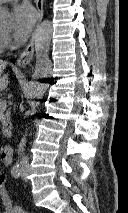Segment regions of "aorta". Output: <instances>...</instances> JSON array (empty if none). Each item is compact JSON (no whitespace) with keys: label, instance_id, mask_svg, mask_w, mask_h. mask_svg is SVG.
<instances>
[{"label":"aorta","instance_id":"762f6f07","mask_svg":"<svg viewBox=\"0 0 128 213\" xmlns=\"http://www.w3.org/2000/svg\"><path fill=\"white\" fill-rule=\"evenodd\" d=\"M10 15L7 10L0 7V26L6 25L9 22ZM53 27L49 20H44L37 28L35 32V51H36V64L34 71V78L36 79H47L52 74V63L49 58L50 43L52 39ZM48 83L40 82L37 83L34 90V96L37 98H42L48 89ZM39 103H36L38 106ZM35 111V105L28 111V115H33ZM26 145V134L21 138L17 153L20 157L24 151ZM16 162V165L19 161Z\"/></svg>","mask_w":128,"mask_h":213}]
</instances>
